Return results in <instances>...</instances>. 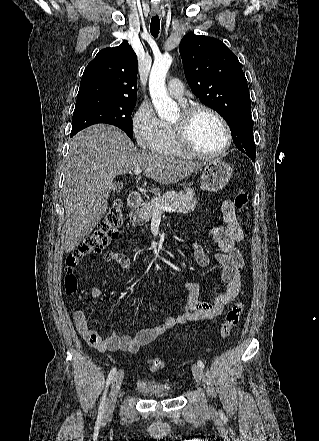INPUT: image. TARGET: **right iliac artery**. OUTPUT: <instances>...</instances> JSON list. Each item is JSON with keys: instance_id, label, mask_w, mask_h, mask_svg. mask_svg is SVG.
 Instances as JSON below:
<instances>
[{"instance_id": "1", "label": "right iliac artery", "mask_w": 319, "mask_h": 441, "mask_svg": "<svg viewBox=\"0 0 319 441\" xmlns=\"http://www.w3.org/2000/svg\"><path fill=\"white\" fill-rule=\"evenodd\" d=\"M115 374H116V368L114 367V368L110 371V373H109V375H108V378H107V382H106V390H105V392H104V395H103V397H102V400H101V403H100V406H99V410H98L99 417H101V416L103 415V413H104L107 388H108L109 384L112 382V380H113Z\"/></svg>"}]
</instances>
